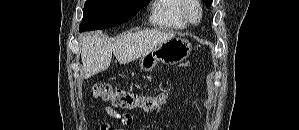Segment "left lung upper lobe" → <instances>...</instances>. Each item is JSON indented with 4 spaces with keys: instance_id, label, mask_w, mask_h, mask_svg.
<instances>
[{
    "instance_id": "obj_1",
    "label": "left lung upper lobe",
    "mask_w": 299,
    "mask_h": 130,
    "mask_svg": "<svg viewBox=\"0 0 299 130\" xmlns=\"http://www.w3.org/2000/svg\"><path fill=\"white\" fill-rule=\"evenodd\" d=\"M207 7L211 6L212 0H203Z\"/></svg>"
}]
</instances>
